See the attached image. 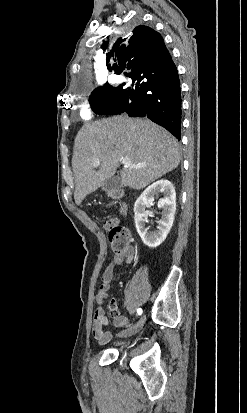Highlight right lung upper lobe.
<instances>
[{"instance_id": "1", "label": "right lung upper lobe", "mask_w": 247, "mask_h": 413, "mask_svg": "<svg viewBox=\"0 0 247 413\" xmlns=\"http://www.w3.org/2000/svg\"><path fill=\"white\" fill-rule=\"evenodd\" d=\"M162 36L150 27H135L128 38H119L107 54L108 69L125 76L153 73L171 61ZM110 60L115 63L111 64Z\"/></svg>"}]
</instances>
